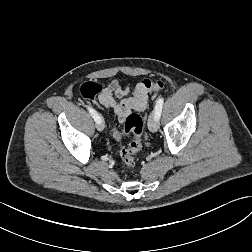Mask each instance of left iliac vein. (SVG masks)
<instances>
[{
	"label": "left iliac vein",
	"instance_id": "4c4485c4",
	"mask_svg": "<svg viewBox=\"0 0 252 252\" xmlns=\"http://www.w3.org/2000/svg\"><path fill=\"white\" fill-rule=\"evenodd\" d=\"M148 128L151 132H156L159 128L158 120L155 117V113L151 114L148 121Z\"/></svg>",
	"mask_w": 252,
	"mask_h": 252
}]
</instances>
